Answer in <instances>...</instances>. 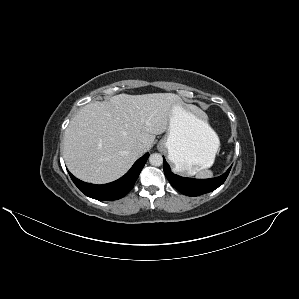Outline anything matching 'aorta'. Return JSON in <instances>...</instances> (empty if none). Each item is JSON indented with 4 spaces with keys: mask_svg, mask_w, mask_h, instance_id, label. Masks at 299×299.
<instances>
[{
    "mask_svg": "<svg viewBox=\"0 0 299 299\" xmlns=\"http://www.w3.org/2000/svg\"><path fill=\"white\" fill-rule=\"evenodd\" d=\"M149 162L153 166H160L163 163V158L159 153H154L150 155Z\"/></svg>",
    "mask_w": 299,
    "mask_h": 299,
    "instance_id": "762f6f07",
    "label": "aorta"
}]
</instances>
